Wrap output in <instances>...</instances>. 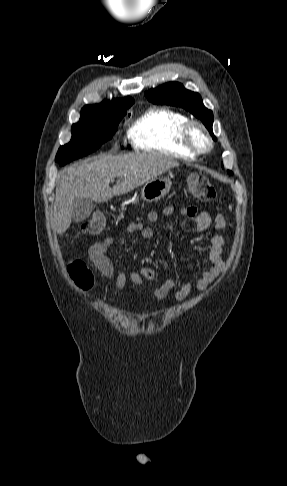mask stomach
I'll return each instance as SVG.
<instances>
[{"instance_id":"1","label":"stomach","mask_w":287,"mask_h":486,"mask_svg":"<svg viewBox=\"0 0 287 486\" xmlns=\"http://www.w3.org/2000/svg\"><path fill=\"white\" fill-rule=\"evenodd\" d=\"M172 186V182L167 178H156L144 184L141 189V198L146 202H157L165 197Z\"/></svg>"}]
</instances>
